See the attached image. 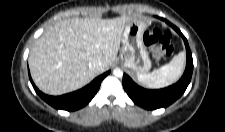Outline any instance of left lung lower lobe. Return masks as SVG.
<instances>
[{
    "instance_id": "1",
    "label": "left lung lower lobe",
    "mask_w": 225,
    "mask_h": 132,
    "mask_svg": "<svg viewBox=\"0 0 225 132\" xmlns=\"http://www.w3.org/2000/svg\"><path fill=\"white\" fill-rule=\"evenodd\" d=\"M164 21L182 36L186 46L187 64L185 72L181 79L176 84L167 88L159 90H148L135 84L128 75L124 74L123 76V87L128 96L133 100L135 104L148 110L167 107L178 98H180L189 85L193 72V59L187 39L177 27H175L167 20Z\"/></svg>"
}]
</instances>
